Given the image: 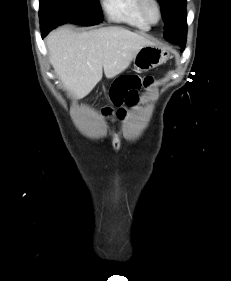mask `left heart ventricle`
I'll use <instances>...</instances> for the list:
<instances>
[{
    "instance_id": "left-heart-ventricle-1",
    "label": "left heart ventricle",
    "mask_w": 231,
    "mask_h": 281,
    "mask_svg": "<svg viewBox=\"0 0 231 281\" xmlns=\"http://www.w3.org/2000/svg\"><path fill=\"white\" fill-rule=\"evenodd\" d=\"M150 14L154 18L156 17V12H155V10L153 8H150Z\"/></svg>"
}]
</instances>
